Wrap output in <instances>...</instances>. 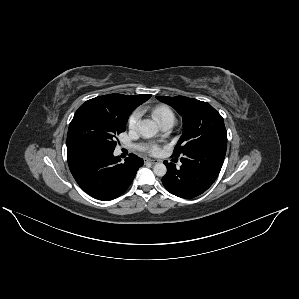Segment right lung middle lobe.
<instances>
[{
  "label": "right lung middle lobe",
  "instance_id": "obj_1",
  "mask_svg": "<svg viewBox=\"0 0 299 299\" xmlns=\"http://www.w3.org/2000/svg\"><path fill=\"white\" fill-rule=\"evenodd\" d=\"M128 115L117 116L103 111L75 114L68 129L67 145L102 147L114 150L117 135L126 130Z\"/></svg>",
  "mask_w": 299,
  "mask_h": 299
}]
</instances>
